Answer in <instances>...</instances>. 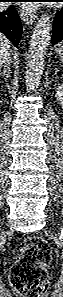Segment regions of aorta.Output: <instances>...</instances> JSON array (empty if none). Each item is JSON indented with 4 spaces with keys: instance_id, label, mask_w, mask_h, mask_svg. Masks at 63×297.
<instances>
[{
    "instance_id": "aorta-1",
    "label": "aorta",
    "mask_w": 63,
    "mask_h": 297,
    "mask_svg": "<svg viewBox=\"0 0 63 297\" xmlns=\"http://www.w3.org/2000/svg\"><path fill=\"white\" fill-rule=\"evenodd\" d=\"M51 32L52 21L50 16L47 13L42 14L33 31L27 54L25 79L29 91L36 90L40 84Z\"/></svg>"
}]
</instances>
